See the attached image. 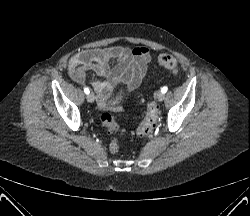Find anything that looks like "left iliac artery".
Here are the masks:
<instances>
[{"label": "left iliac artery", "mask_w": 250, "mask_h": 216, "mask_svg": "<svg viewBox=\"0 0 250 216\" xmlns=\"http://www.w3.org/2000/svg\"><path fill=\"white\" fill-rule=\"evenodd\" d=\"M167 90H168V87H167V86H164V87L161 89V92L166 93Z\"/></svg>", "instance_id": "44dca946"}]
</instances>
